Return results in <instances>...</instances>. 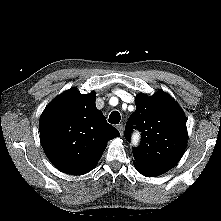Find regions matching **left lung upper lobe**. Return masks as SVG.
Returning <instances> with one entry per match:
<instances>
[{
	"label": "left lung upper lobe",
	"mask_w": 221,
	"mask_h": 221,
	"mask_svg": "<svg viewBox=\"0 0 221 221\" xmlns=\"http://www.w3.org/2000/svg\"><path fill=\"white\" fill-rule=\"evenodd\" d=\"M136 111L125 128L129 140L133 128L142 133L140 146L133 151L134 165L162 174L173 168L187 145L186 117L176 101L165 92L154 96L139 95Z\"/></svg>",
	"instance_id": "5c2ea615"
}]
</instances>
